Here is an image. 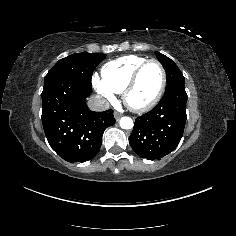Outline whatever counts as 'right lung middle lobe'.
<instances>
[{"mask_svg": "<svg viewBox=\"0 0 236 236\" xmlns=\"http://www.w3.org/2000/svg\"><path fill=\"white\" fill-rule=\"evenodd\" d=\"M105 54L76 53L60 59L45 76L44 86L59 79H72L91 87V77Z\"/></svg>", "mask_w": 236, "mask_h": 236, "instance_id": "dd1d6c3e", "label": "right lung middle lobe"}]
</instances>
